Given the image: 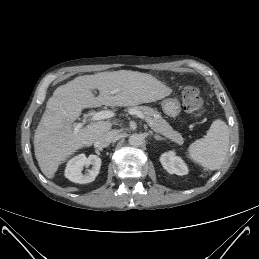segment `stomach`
Wrapping results in <instances>:
<instances>
[{
  "instance_id": "0dacf381",
  "label": "stomach",
  "mask_w": 259,
  "mask_h": 259,
  "mask_svg": "<svg viewBox=\"0 0 259 259\" xmlns=\"http://www.w3.org/2000/svg\"><path fill=\"white\" fill-rule=\"evenodd\" d=\"M162 109L170 117H176L181 112V105L178 100L167 98L162 102Z\"/></svg>"
}]
</instances>
